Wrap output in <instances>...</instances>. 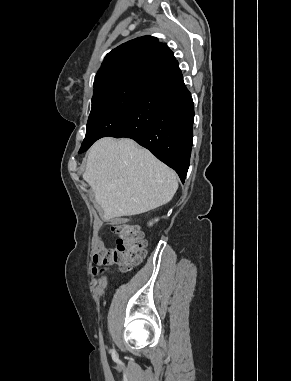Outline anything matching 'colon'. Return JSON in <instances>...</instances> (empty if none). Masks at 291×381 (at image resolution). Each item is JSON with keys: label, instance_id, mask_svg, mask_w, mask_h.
<instances>
[{"label": "colon", "instance_id": "obj_1", "mask_svg": "<svg viewBox=\"0 0 291 381\" xmlns=\"http://www.w3.org/2000/svg\"><path fill=\"white\" fill-rule=\"evenodd\" d=\"M111 232L117 237L116 247H101L94 256L95 263L107 267L117 264L122 271H128L139 264L145 255V240L139 226L130 222H112ZM101 270V272H103Z\"/></svg>", "mask_w": 291, "mask_h": 381}]
</instances>
